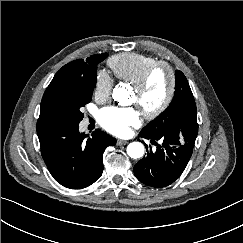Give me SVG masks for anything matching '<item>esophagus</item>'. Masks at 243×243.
<instances>
[{
  "label": "esophagus",
  "instance_id": "34e87169",
  "mask_svg": "<svg viewBox=\"0 0 243 243\" xmlns=\"http://www.w3.org/2000/svg\"><path fill=\"white\" fill-rule=\"evenodd\" d=\"M128 143V141H126V140H121V139H118L117 140V145H119V146H121V145H125V144H127Z\"/></svg>",
  "mask_w": 243,
  "mask_h": 243
}]
</instances>
